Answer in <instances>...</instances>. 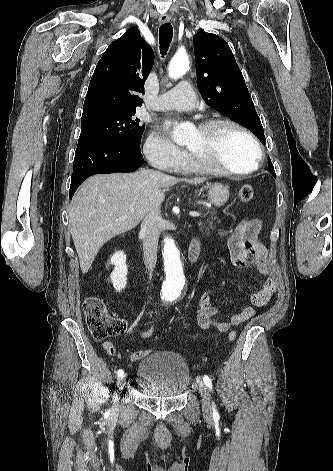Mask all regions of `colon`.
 Returning <instances> with one entry per match:
<instances>
[{
    "mask_svg": "<svg viewBox=\"0 0 333 471\" xmlns=\"http://www.w3.org/2000/svg\"><path fill=\"white\" fill-rule=\"evenodd\" d=\"M253 187L249 184L243 185L239 190L240 201L247 203L253 198ZM83 311L88 329L97 341L122 334L126 329V323L120 318L111 316L104 301L96 296L87 298L83 304ZM236 332L231 331L228 335L229 341H234ZM150 354L149 350L135 351L130 354L131 360H140Z\"/></svg>",
    "mask_w": 333,
    "mask_h": 471,
    "instance_id": "colon-1",
    "label": "colon"
}]
</instances>
